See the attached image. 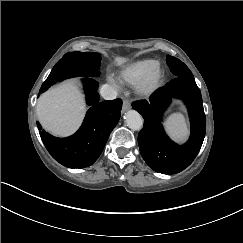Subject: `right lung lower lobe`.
Here are the masks:
<instances>
[{"instance_id": "right-lung-lower-lobe-1", "label": "right lung lower lobe", "mask_w": 243, "mask_h": 243, "mask_svg": "<svg viewBox=\"0 0 243 243\" xmlns=\"http://www.w3.org/2000/svg\"><path fill=\"white\" fill-rule=\"evenodd\" d=\"M87 104L91 106L80 129L67 138H56L42 130L37 123L41 139L51 156L69 168L92 165L100 156L107 139L117 125L122 108L121 99L99 102L98 83L86 76L83 79Z\"/></svg>"}]
</instances>
